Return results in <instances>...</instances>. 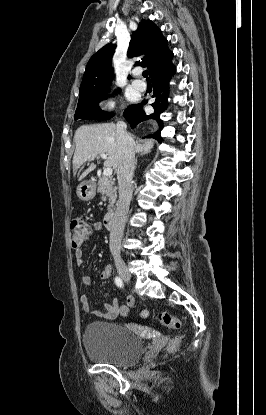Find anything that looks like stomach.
<instances>
[{
  "label": "stomach",
  "mask_w": 266,
  "mask_h": 415,
  "mask_svg": "<svg viewBox=\"0 0 266 415\" xmlns=\"http://www.w3.org/2000/svg\"><path fill=\"white\" fill-rule=\"evenodd\" d=\"M77 196L82 201H90L96 195L95 184L91 181H84L77 187Z\"/></svg>",
  "instance_id": "1"
}]
</instances>
